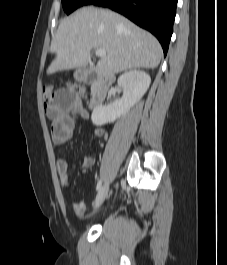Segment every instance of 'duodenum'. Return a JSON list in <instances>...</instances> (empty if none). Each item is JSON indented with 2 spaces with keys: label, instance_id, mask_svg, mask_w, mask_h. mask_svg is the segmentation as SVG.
I'll return each mask as SVG.
<instances>
[{
  "label": "duodenum",
  "instance_id": "duodenum-1",
  "mask_svg": "<svg viewBox=\"0 0 227 265\" xmlns=\"http://www.w3.org/2000/svg\"><path fill=\"white\" fill-rule=\"evenodd\" d=\"M78 78L80 81L93 84V92L89 101V107L92 109L99 107L106 98L110 80L103 75L95 74L88 70L81 71Z\"/></svg>",
  "mask_w": 227,
  "mask_h": 265
}]
</instances>
